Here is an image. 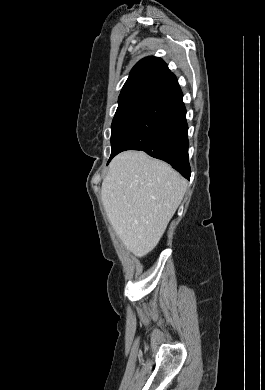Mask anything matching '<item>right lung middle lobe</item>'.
<instances>
[{
  "mask_svg": "<svg viewBox=\"0 0 265 390\" xmlns=\"http://www.w3.org/2000/svg\"><path fill=\"white\" fill-rule=\"evenodd\" d=\"M154 100L137 97L118 102V108L111 125V156L116 150V144L126 128L143 112Z\"/></svg>",
  "mask_w": 265,
  "mask_h": 390,
  "instance_id": "dd1d6c3e",
  "label": "right lung middle lobe"
}]
</instances>
